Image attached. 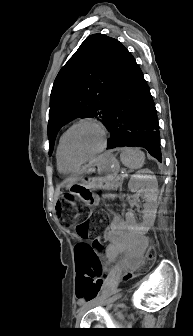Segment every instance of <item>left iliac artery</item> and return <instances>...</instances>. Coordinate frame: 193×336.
Listing matches in <instances>:
<instances>
[{"mask_svg":"<svg viewBox=\"0 0 193 336\" xmlns=\"http://www.w3.org/2000/svg\"><path fill=\"white\" fill-rule=\"evenodd\" d=\"M94 302H95V300H92V301L89 303V305H93ZM83 308H84V306L80 309V311H81Z\"/></svg>","mask_w":193,"mask_h":336,"instance_id":"1","label":"left iliac artery"}]
</instances>
